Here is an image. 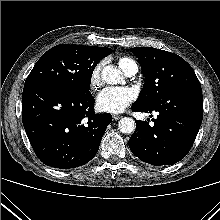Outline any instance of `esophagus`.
Segmentation results:
<instances>
[{"mask_svg": "<svg viewBox=\"0 0 220 220\" xmlns=\"http://www.w3.org/2000/svg\"><path fill=\"white\" fill-rule=\"evenodd\" d=\"M112 118H113V120L117 121L121 118V116L117 115V114H114V115H112Z\"/></svg>", "mask_w": 220, "mask_h": 220, "instance_id": "obj_1", "label": "esophagus"}]
</instances>
